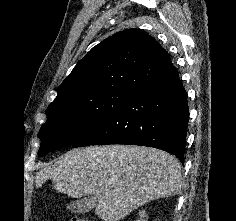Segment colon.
<instances>
[{
  "mask_svg": "<svg viewBox=\"0 0 236 221\" xmlns=\"http://www.w3.org/2000/svg\"><path fill=\"white\" fill-rule=\"evenodd\" d=\"M70 221H90V220L84 217L74 216L70 219Z\"/></svg>",
  "mask_w": 236,
  "mask_h": 221,
  "instance_id": "5ec220e1",
  "label": "colon"
}]
</instances>
